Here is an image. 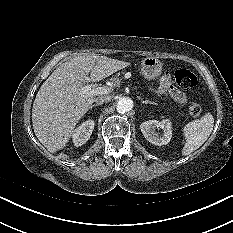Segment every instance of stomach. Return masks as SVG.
<instances>
[{"mask_svg":"<svg viewBox=\"0 0 233 233\" xmlns=\"http://www.w3.org/2000/svg\"><path fill=\"white\" fill-rule=\"evenodd\" d=\"M162 73V63L156 57H146L141 61V74L148 80H154Z\"/></svg>","mask_w":233,"mask_h":233,"instance_id":"0dacf381","label":"stomach"}]
</instances>
